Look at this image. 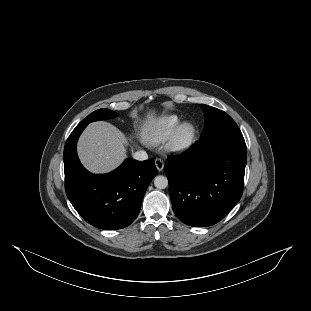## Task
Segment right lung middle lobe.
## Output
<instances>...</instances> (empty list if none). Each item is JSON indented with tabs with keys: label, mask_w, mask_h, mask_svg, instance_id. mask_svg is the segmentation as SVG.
Returning a JSON list of instances; mask_svg holds the SVG:
<instances>
[{
	"label": "right lung middle lobe",
	"mask_w": 311,
	"mask_h": 311,
	"mask_svg": "<svg viewBox=\"0 0 311 311\" xmlns=\"http://www.w3.org/2000/svg\"><path fill=\"white\" fill-rule=\"evenodd\" d=\"M116 117V113L106 109H98L94 112H92L90 115H88L85 119H83L79 124H85L88 125L89 123L97 120H103V119H109V118H114Z\"/></svg>",
	"instance_id": "obj_1"
}]
</instances>
